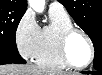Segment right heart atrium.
Segmentation results:
<instances>
[{"instance_id":"1","label":"right heart atrium","mask_w":102,"mask_h":75,"mask_svg":"<svg viewBox=\"0 0 102 75\" xmlns=\"http://www.w3.org/2000/svg\"><path fill=\"white\" fill-rule=\"evenodd\" d=\"M39 30L40 27L31 11L25 12L15 27L16 46L21 55L27 60L33 59L36 54Z\"/></svg>"}]
</instances>
